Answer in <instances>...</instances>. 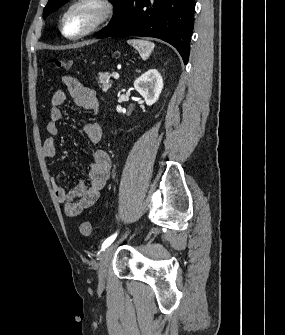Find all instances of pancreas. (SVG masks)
Wrapping results in <instances>:
<instances>
[{"instance_id":"1","label":"pancreas","mask_w":285,"mask_h":335,"mask_svg":"<svg viewBox=\"0 0 285 335\" xmlns=\"http://www.w3.org/2000/svg\"><path fill=\"white\" fill-rule=\"evenodd\" d=\"M98 80L99 86L102 88L103 92H108L109 88H111L113 84L111 74H109V72H99Z\"/></svg>"}]
</instances>
